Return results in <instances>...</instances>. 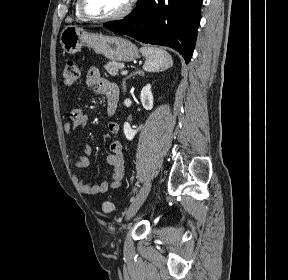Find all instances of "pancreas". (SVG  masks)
Segmentation results:
<instances>
[{"mask_svg":"<svg viewBox=\"0 0 288 280\" xmlns=\"http://www.w3.org/2000/svg\"><path fill=\"white\" fill-rule=\"evenodd\" d=\"M123 63H117V62H108L104 65V68L111 76H116L118 74V71L122 68H124Z\"/></svg>","mask_w":288,"mask_h":280,"instance_id":"obj_1","label":"pancreas"}]
</instances>
